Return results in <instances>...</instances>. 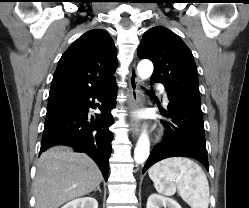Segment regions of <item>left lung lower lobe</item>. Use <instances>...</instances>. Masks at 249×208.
Returning <instances> with one entry per match:
<instances>
[{"label":"left lung lower lobe","mask_w":249,"mask_h":208,"mask_svg":"<svg viewBox=\"0 0 249 208\" xmlns=\"http://www.w3.org/2000/svg\"><path fill=\"white\" fill-rule=\"evenodd\" d=\"M151 83L155 81L151 80ZM167 95L168 110L160 108L162 115L168 119L162 120L166 128L164 140L153 148L143 172L156 162L175 156L197 159L209 169L201 104L170 91Z\"/></svg>","instance_id":"left-lung-lower-lobe-1"}]
</instances>
